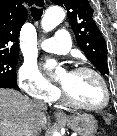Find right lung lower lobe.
Here are the masks:
<instances>
[{
    "instance_id": "1",
    "label": "right lung lower lobe",
    "mask_w": 117,
    "mask_h": 136,
    "mask_svg": "<svg viewBox=\"0 0 117 136\" xmlns=\"http://www.w3.org/2000/svg\"><path fill=\"white\" fill-rule=\"evenodd\" d=\"M0 88H19L16 81H0Z\"/></svg>"
}]
</instances>
